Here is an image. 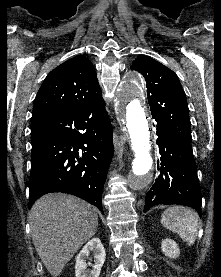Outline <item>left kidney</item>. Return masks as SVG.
<instances>
[{
  "label": "left kidney",
  "instance_id": "1",
  "mask_svg": "<svg viewBox=\"0 0 221 277\" xmlns=\"http://www.w3.org/2000/svg\"><path fill=\"white\" fill-rule=\"evenodd\" d=\"M161 248L163 253L170 258H177L180 254L178 245L170 238L162 240Z\"/></svg>",
  "mask_w": 221,
  "mask_h": 277
}]
</instances>
